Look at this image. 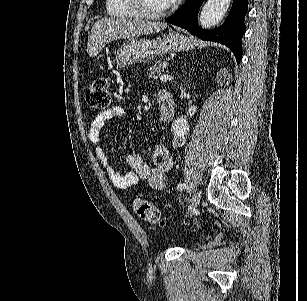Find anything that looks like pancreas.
Instances as JSON below:
<instances>
[{
  "mask_svg": "<svg viewBox=\"0 0 307 301\" xmlns=\"http://www.w3.org/2000/svg\"><path fill=\"white\" fill-rule=\"evenodd\" d=\"M167 64L166 62H152L151 66L147 68L148 76H153V78H158L161 74H164Z\"/></svg>",
  "mask_w": 307,
  "mask_h": 301,
  "instance_id": "pancreas-1",
  "label": "pancreas"
}]
</instances>
